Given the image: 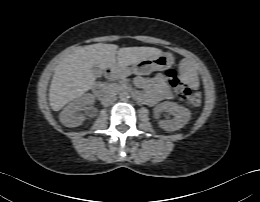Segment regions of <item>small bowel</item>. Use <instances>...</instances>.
Listing matches in <instances>:
<instances>
[{
    "mask_svg": "<svg viewBox=\"0 0 260 202\" xmlns=\"http://www.w3.org/2000/svg\"><path fill=\"white\" fill-rule=\"evenodd\" d=\"M136 84L145 91L144 94L136 95L149 105H154L172 98V94L166 84L165 77L161 73H158L150 78L138 77L136 78Z\"/></svg>",
    "mask_w": 260,
    "mask_h": 202,
    "instance_id": "obj_1",
    "label": "small bowel"
}]
</instances>
